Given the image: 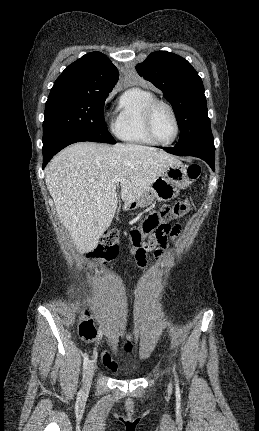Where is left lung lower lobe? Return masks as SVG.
<instances>
[{"mask_svg":"<svg viewBox=\"0 0 259 431\" xmlns=\"http://www.w3.org/2000/svg\"><path fill=\"white\" fill-rule=\"evenodd\" d=\"M171 152L172 154L179 156H194L204 160L214 171L215 168V147L214 145H191L181 146L176 145L175 147L163 148Z\"/></svg>","mask_w":259,"mask_h":431,"instance_id":"left-lung-lower-lobe-1","label":"left lung lower lobe"}]
</instances>
